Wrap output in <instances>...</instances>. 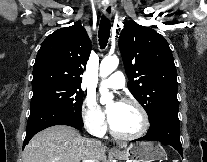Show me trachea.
Here are the masks:
<instances>
[{
  "label": "trachea",
  "mask_w": 207,
  "mask_h": 162,
  "mask_svg": "<svg viewBox=\"0 0 207 162\" xmlns=\"http://www.w3.org/2000/svg\"><path fill=\"white\" fill-rule=\"evenodd\" d=\"M110 36V22L105 17L101 18L100 26H99V45L101 49H103L108 42Z\"/></svg>",
  "instance_id": "trachea-1"
}]
</instances>
